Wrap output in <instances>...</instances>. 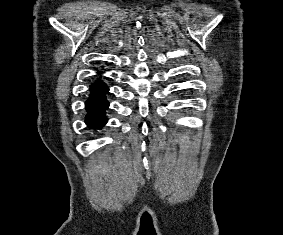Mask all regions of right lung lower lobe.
<instances>
[{"label": "right lung lower lobe", "mask_w": 283, "mask_h": 235, "mask_svg": "<svg viewBox=\"0 0 283 235\" xmlns=\"http://www.w3.org/2000/svg\"><path fill=\"white\" fill-rule=\"evenodd\" d=\"M108 87L102 82H95L90 88V98L86 101V124L93 128H100L106 124L105 110L109 106L105 94Z\"/></svg>", "instance_id": "right-lung-lower-lobe-1"}]
</instances>
